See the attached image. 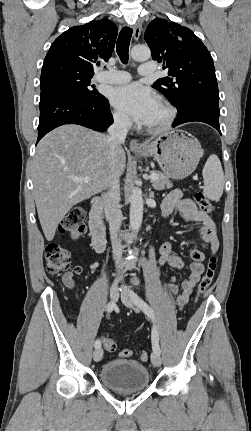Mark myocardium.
<instances>
[{
	"instance_id": "obj_1",
	"label": "myocardium",
	"mask_w": 251,
	"mask_h": 431,
	"mask_svg": "<svg viewBox=\"0 0 251 431\" xmlns=\"http://www.w3.org/2000/svg\"><path fill=\"white\" fill-rule=\"evenodd\" d=\"M159 105L164 110V117L154 125H146V131L151 134H159L171 128L177 117V110L166 100H160Z\"/></svg>"
}]
</instances>
